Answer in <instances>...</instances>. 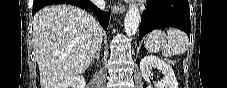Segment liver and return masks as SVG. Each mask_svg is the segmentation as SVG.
<instances>
[{
	"instance_id": "6515ba94",
	"label": "liver",
	"mask_w": 227,
	"mask_h": 88,
	"mask_svg": "<svg viewBox=\"0 0 227 88\" xmlns=\"http://www.w3.org/2000/svg\"><path fill=\"white\" fill-rule=\"evenodd\" d=\"M102 27L73 5L42 8L33 19V40L41 88H56L89 67L101 47Z\"/></svg>"
}]
</instances>
